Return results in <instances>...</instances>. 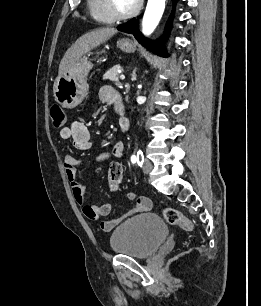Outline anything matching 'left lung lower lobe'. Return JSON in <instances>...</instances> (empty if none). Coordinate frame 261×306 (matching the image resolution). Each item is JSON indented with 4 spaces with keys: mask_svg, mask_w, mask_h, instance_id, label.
Instances as JSON below:
<instances>
[{
    "mask_svg": "<svg viewBox=\"0 0 261 306\" xmlns=\"http://www.w3.org/2000/svg\"><path fill=\"white\" fill-rule=\"evenodd\" d=\"M177 0L173 1V4L176 3ZM171 25V19H169L168 23H167V27H166V33L165 36L158 42H150L148 39L144 38L143 35L139 32V26H138V20L136 18L131 19L130 21H128L125 24H122L120 26L117 27L118 30L126 32V33H130L133 34L135 36V38L146 48H148L149 50L153 51L154 53L163 56V57H167V55L165 54L164 50H163V44H164V40L168 34V30L170 28Z\"/></svg>",
    "mask_w": 261,
    "mask_h": 306,
    "instance_id": "left-lung-lower-lobe-1",
    "label": "left lung lower lobe"
}]
</instances>
